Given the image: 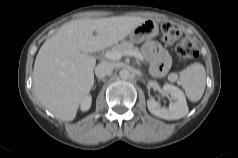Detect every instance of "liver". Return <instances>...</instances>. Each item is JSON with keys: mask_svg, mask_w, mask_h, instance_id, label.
Instances as JSON below:
<instances>
[{"mask_svg": "<svg viewBox=\"0 0 238 158\" xmlns=\"http://www.w3.org/2000/svg\"><path fill=\"white\" fill-rule=\"evenodd\" d=\"M145 20L118 16L62 25L41 46L34 63L33 87L40 103L60 120L72 121L94 84L96 60L86 53L117 44Z\"/></svg>", "mask_w": 238, "mask_h": 158, "instance_id": "obj_1", "label": "liver"}]
</instances>
